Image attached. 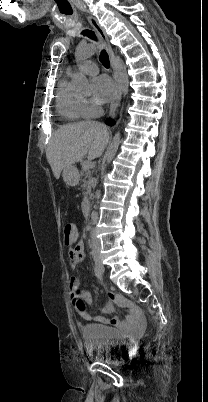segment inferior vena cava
Wrapping results in <instances>:
<instances>
[{
    "label": "inferior vena cava",
    "mask_w": 208,
    "mask_h": 402,
    "mask_svg": "<svg viewBox=\"0 0 208 402\" xmlns=\"http://www.w3.org/2000/svg\"><path fill=\"white\" fill-rule=\"evenodd\" d=\"M91 244H93V246H99V242H98V240L96 238L94 228H91Z\"/></svg>",
    "instance_id": "inferior-vena-cava-1"
}]
</instances>
